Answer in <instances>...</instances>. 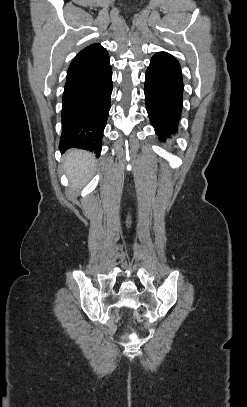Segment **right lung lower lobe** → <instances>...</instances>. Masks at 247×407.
I'll return each mask as SVG.
<instances>
[{
  "mask_svg": "<svg viewBox=\"0 0 247 407\" xmlns=\"http://www.w3.org/2000/svg\"><path fill=\"white\" fill-rule=\"evenodd\" d=\"M111 93L109 56L67 77L61 112V152L74 147L89 150L99 157Z\"/></svg>",
  "mask_w": 247,
  "mask_h": 407,
  "instance_id": "98d812e1",
  "label": "right lung lower lobe"
}]
</instances>
